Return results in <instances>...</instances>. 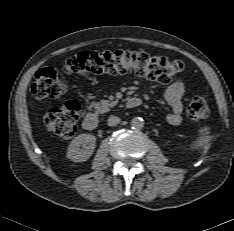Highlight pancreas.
Masks as SVG:
<instances>
[{
    "label": "pancreas",
    "instance_id": "pancreas-1",
    "mask_svg": "<svg viewBox=\"0 0 234 231\" xmlns=\"http://www.w3.org/2000/svg\"><path fill=\"white\" fill-rule=\"evenodd\" d=\"M118 101H108L102 100L101 102H92L91 106L94 107L98 112L105 113L110 110L111 107H114Z\"/></svg>",
    "mask_w": 234,
    "mask_h": 231
}]
</instances>
